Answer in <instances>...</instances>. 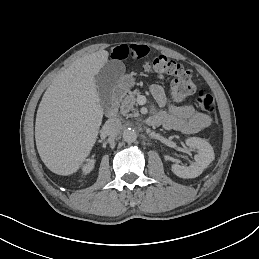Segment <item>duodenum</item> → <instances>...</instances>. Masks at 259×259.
Wrapping results in <instances>:
<instances>
[{"mask_svg":"<svg viewBox=\"0 0 259 259\" xmlns=\"http://www.w3.org/2000/svg\"><path fill=\"white\" fill-rule=\"evenodd\" d=\"M124 94H125V88L123 86H118L114 88V90L112 91L110 103L107 105L105 109L106 116L113 117L116 114L118 103L121 100V98L124 96ZM147 123L150 125H153L154 124L153 117H149L147 119Z\"/></svg>","mask_w":259,"mask_h":259,"instance_id":"obj_1","label":"duodenum"}]
</instances>
